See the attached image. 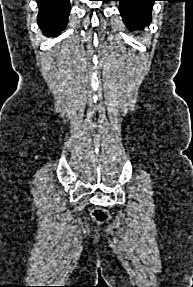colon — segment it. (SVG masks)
Segmentation results:
<instances>
[{"label": "colon", "mask_w": 193, "mask_h": 287, "mask_svg": "<svg viewBox=\"0 0 193 287\" xmlns=\"http://www.w3.org/2000/svg\"><path fill=\"white\" fill-rule=\"evenodd\" d=\"M92 218L98 223H105L109 220V213L102 207H96L91 212Z\"/></svg>", "instance_id": "1"}]
</instances>
